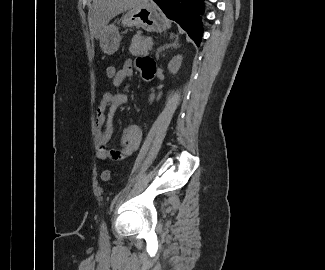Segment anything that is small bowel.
Instances as JSON below:
<instances>
[{"label": "small bowel", "mask_w": 325, "mask_h": 270, "mask_svg": "<svg viewBox=\"0 0 325 270\" xmlns=\"http://www.w3.org/2000/svg\"><path fill=\"white\" fill-rule=\"evenodd\" d=\"M136 67L142 77L146 80L153 78L155 75L156 63L154 59L149 56L138 57L136 60ZM117 73L118 78L112 83L114 87L119 88L123 85L127 78H130L133 75L132 62L130 60L125 61L123 66L118 69ZM126 102L127 96L118 90L105 92L100 100L97 108L94 128L96 156L101 161L124 160L130 156L140 144V127L138 125H130L125 128L123 132L120 149L109 150L106 148V144L112 138L114 131L112 120H109V122L105 125L107 113L112 116L116 109L126 104Z\"/></svg>", "instance_id": "small-bowel-1"}]
</instances>
